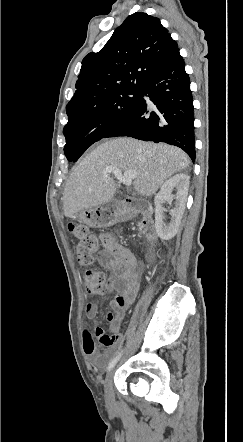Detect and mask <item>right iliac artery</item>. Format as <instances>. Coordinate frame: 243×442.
I'll use <instances>...</instances> for the list:
<instances>
[{"instance_id": "obj_1", "label": "right iliac artery", "mask_w": 243, "mask_h": 442, "mask_svg": "<svg viewBox=\"0 0 243 442\" xmlns=\"http://www.w3.org/2000/svg\"><path fill=\"white\" fill-rule=\"evenodd\" d=\"M121 355H122V351L119 352V353L113 358V360H112V361L109 363V365H108V368H107L108 371H110V370L115 366V364H116V363L118 362V360L120 359Z\"/></svg>"}]
</instances>
